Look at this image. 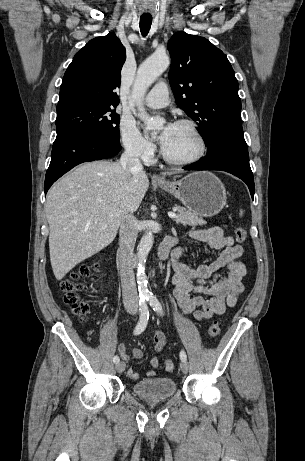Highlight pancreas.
Listing matches in <instances>:
<instances>
[{
  "label": "pancreas",
  "instance_id": "obj_1",
  "mask_svg": "<svg viewBox=\"0 0 305 461\" xmlns=\"http://www.w3.org/2000/svg\"><path fill=\"white\" fill-rule=\"evenodd\" d=\"M173 209L178 212L177 217L174 219L177 224H182L184 226H203L206 224V221L202 217L194 212L186 210L184 207L175 205Z\"/></svg>",
  "mask_w": 305,
  "mask_h": 461
}]
</instances>
